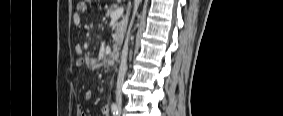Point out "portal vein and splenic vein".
Listing matches in <instances>:
<instances>
[{
	"label": "portal vein and splenic vein",
	"mask_w": 283,
	"mask_h": 116,
	"mask_svg": "<svg viewBox=\"0 0 283 116\" xmlns=\"http://www.w3.org/2000/svg\"><path fill=\"white\" fill-rule=\"evenodd\" d=\"M123 12H124L123 7L118 8L113 13L110 14V18L112 20H118L123 15Z\"/></svg>",
	"instance_id": "18ae733b"
}]
</instances>
